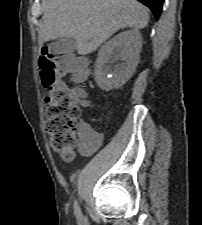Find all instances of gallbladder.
Wrapping results in <instances>:
<instances>
[{
    "label": "gallbladder",
    "mask_w": 202,
    "mask_h": 225,
    "mask_svg": "<svg viewBox=\"0 0 202 225\" xmlns=\"http://www.w3.org/2000/svg\"><path fill=\"white\" fill-rule=\"evenodd\" d=\"M76 50V41L72 37H62L49 46V53L54 55L70 54Z\"/></svg>",
    "instance_id": "gallbladder-1"
}]
</instances>
